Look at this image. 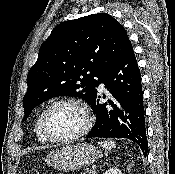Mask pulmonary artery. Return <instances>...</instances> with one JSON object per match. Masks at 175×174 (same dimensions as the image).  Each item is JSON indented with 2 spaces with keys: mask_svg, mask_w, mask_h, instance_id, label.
<instances>
[{
  "mask_svg": "<svg viewBox=\"0 0 175 174\" xmlns=\"http://www.w3.org/2000/svg\"><path fill=\"white\" fill-rule=\"evenodd\" d=\"M100 90H104V85L102 83L100 84Z\"/></svg>",
  "mask_w": 175,
  "mask_h": 174,
  "instance_id": "pulmonary-artery-1",
  "label": "pulmonary artery"
}]
</instances>
